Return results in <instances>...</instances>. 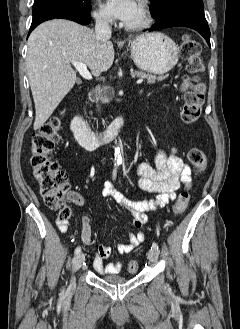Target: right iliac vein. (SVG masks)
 <instances>
[{"label":"right iliac vein","mask_w":240,"mask_h":329,"mask_svg":"<svg viewBox=\"0 0 240 329\" xmlns=\"http://www.w3.org/2000/svg\"><path fill=\"white\" fill-rule=\"evenodd\" d=\"M85 259V255L83 253H79L73 261V272H76L83 264ZM70 289H73L75 287V279L72 278L70 282Z\"/></svg>","instance_id":"obj_1"}]
</instances>
